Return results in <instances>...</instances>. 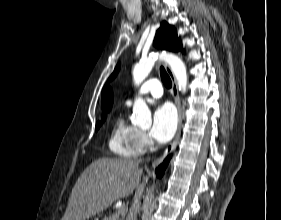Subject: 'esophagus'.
Listing matches in <instances>:
<instances>
[{"instance_id": "34e87169", "label": "esophagus", "mask_w": 281, "mask_h": 220, "mask_svg": "<svg viewBox=\"0 0 281 220\" xmlns=\"http://www.w3.org/2000/svg\"><path fill=\"white\" fill-rule=\"evenodd\" d=\"M165 69L172 81V95L174 97L175 104H176L177 110H178V128H177V132H176L174 140L172 141L171 144H169L167 146L163 155L154 161V163H153L154 166L160 164L163 161V159L176 148V146L180 140L181 128H182V109H181V102H180L176 78H175L171 68L167 64H165Z\"/></svg>"}]
</instances>
